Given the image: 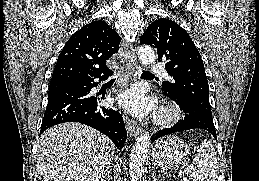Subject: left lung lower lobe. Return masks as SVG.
Masks as SVG:
<instances>
[{
	"label": "left lung lower lobe",
	"mask_w": 259,
	"mask_h": 181,
	"mask_svg": "<svg viewBox=\"0 0 259 181\" xmlns=\"http://www.w3.org/2000/svg\"><path fill=\"white\" fill-rule=\"evenodd\" d=\"M170 98L174 100L181 107V109H183L185 117L173 127L158 131L154 136H152V142L168 134L195 128L207 130L217 140L215 127L211 116L195 110L187 102L173 98L172 96H170Z\"/></svg>",
	"instance_id": "1"
}]
</instances>
